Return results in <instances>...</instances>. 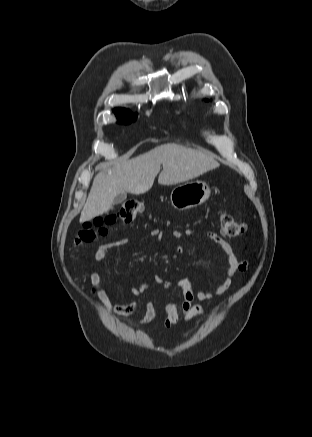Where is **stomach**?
<instances>
[{
	"instance_id": "obj_1",
	"label": "stomach",
	"mask_w": 312,
	"mask_h": 437,
	"mask_svg": "<svg viewBox=\"0 0 312 437\" xmlns=\"http://www.w3.org/2000/svg\"><path fill=\"white\" fill-rule=\"evenodd\" d=\"M210 196V188L203 181H191L176 186L170 195L176 210H188L203 204Z\"/></svg>"
}]
</instances>
